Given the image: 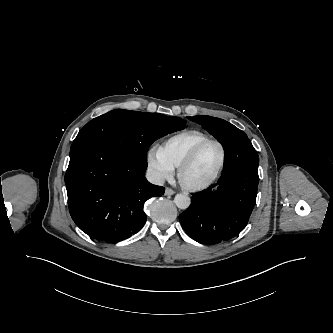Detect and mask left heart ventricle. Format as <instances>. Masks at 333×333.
<instances>
[{"instance_id":"b2bd125f","label":"left heart ventricle","mask_w":333,"mask_h":333,"mask_svg":"<svg viewBox=\"0 0 333 333\" xmlns=\"http://www.w3.org/2000/svg\"><path fill=\"white\" fill-rule=\"evenodd\" d=\"M220 158L221 152L217 145H206L200 150L194 162L186 169L184 179L193 184L208 180L217 169Z\"/></svg>"}]
</instances>
